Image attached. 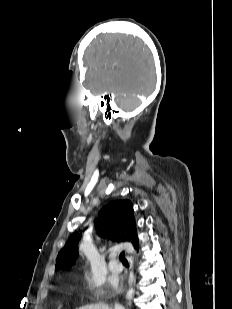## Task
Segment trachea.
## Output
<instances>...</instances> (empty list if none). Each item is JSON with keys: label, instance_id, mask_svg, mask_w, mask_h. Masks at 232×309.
Listing matches in <instances>:
<instances>
[{"label": "trachea", "instance_id": "3493384b", "mask_svg": "<svg viewBox=\"0 0 232 309\" xmlns=\"http://www.w3.org/2000/svg\"><path fill=\"white\" fill-rule=\"evenodd\" d=\"M119 259H120V261H121L123 264H128V261H127V259L125 258V253H124V252H121V253H120Z\"/></svg>", "mask_w": 232, "mask_h": 309}]
</instances>
